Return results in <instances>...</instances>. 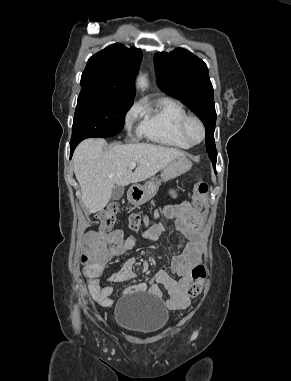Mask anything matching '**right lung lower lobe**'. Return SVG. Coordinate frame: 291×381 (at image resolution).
<instances>
[{"instance_id":"1","label":"right lung lower lobe","mask_w":291,"mask_h":381,"mask_svg":"<svg viewBox=\"0 0 291 381\" xmlns=\"http://www.w3.org/2000/svg\"><path fill=\"white\" fill-rule=\"evenodd\" d=\"M78 144L79 143H72V142H70V158L72 157L73 151L75 150V148H76V146Z\"/></svg>"}]
</instances>
